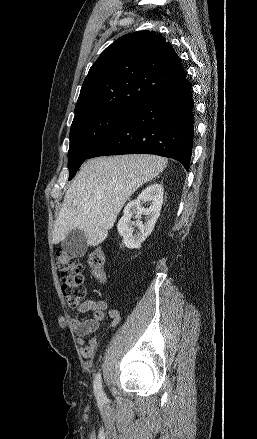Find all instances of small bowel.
Here are the masks:
<instances>
[{
    "instance_id": "c3829d8e",
    "label": "small bowel",
    "mask_w": 257,
    "mask_h": 439,
    "mask_svg": "<svg viewBox=\"0 0 257 439\" xmlns=\"http://www.w3.org/2000/svg\"><path fill=\"white\" fill-rule=\"evenodd\" d=\"M79 313L92 312V318L86 320L73 319L72 328L77 335V343L81 347V353L85 358H92L97 349L98 342L91 338L88 342L85 337L99 330L101 322L108 316L111 325H116L120 321V315L116 310L108 311V304L105 301L88 299L78 306Z\"/></svg>"
}]
</instances>
